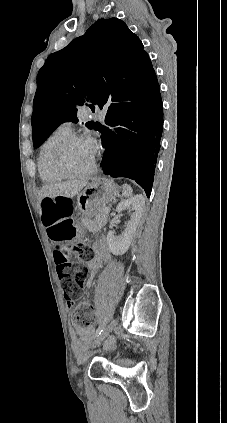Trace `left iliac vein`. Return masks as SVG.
<instances>
[{"mask_svg": "<svg viewBox=\"0 0 227 423\" xmlns=\"http://www.w3.org/2000/svg\"><path fill=\"white\" fill-rule=\"evenodd\" d=\"M118 324L117 319L111 320V322L108 324V326L105 328V330L101 333L99 338L95 341L93 346L99 345L105 338L109 336V334L115 330L116 325Z\"/></svg>", "mask_w": 227, "mask_h": 423, "instance_id": "obj_1", "label": "left iliac vein"}]
</instances>
